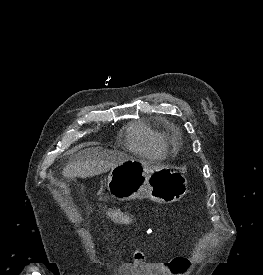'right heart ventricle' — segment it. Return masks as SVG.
I'll list each match as a JSON object with an SVG mask.
<instances>
[{
	"label": "right heart ventricle",
	"instance_id": "e07e8e85",
	"mask_svg": "<svg viewBox=\"0 0 263 275\" xmlns=\"http://www.w3.org/2000/svg\"><path fill=\"white\" fill-rule=\"evenodd\" d=\"M127 143L130 149L139 153L153 154L163 149L160 135L145 124H134L130 127Z\"/></svg>",
	"mask_w": 263,
	"mask_h": 275
}]
</instances>
